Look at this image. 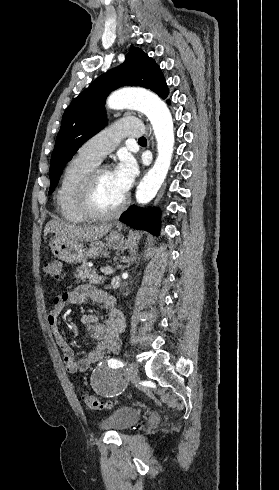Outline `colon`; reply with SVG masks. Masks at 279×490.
I'll use <instances>...</instances> for the list:
<instances>
[{
  "mask_svg": "<svg viewBox=\"0 0 279 490\" xmlns=\"http://www.w3.org/2000/svg\"><path fill=\"white\" fill-rule=\"evenodd\" d=\"M43 272L46 276L59 279L61 276V262L57 259L47 262L44 265ZM82 400L88 408L95 411H102L107 408L106 403L91 392L83 391Z\"/></svg>",
  "mask_w": 279,
  "mask_h": 490,
  "instance_id": "1",
  "label": "colon"
}]
</instances>
